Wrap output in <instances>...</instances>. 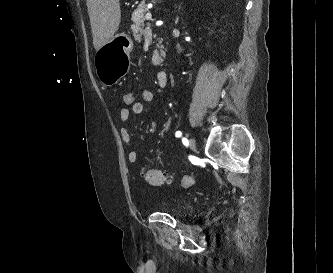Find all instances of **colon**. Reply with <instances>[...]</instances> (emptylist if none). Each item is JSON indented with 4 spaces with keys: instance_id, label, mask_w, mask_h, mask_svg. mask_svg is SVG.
I'll use <instances>...</instances> for the list:
<instances>
[{
    "instance_id": "5ec220e1",
    "label": "colon",
    "mask_w": 333,
    "mask_h": 273,
    "mask_svg": "<svg viewBox=\"0 0 333 273\" xmlns=\"http://www.w3.org/2000/svg\"><path fill=\"white\" fill-rule=\"evenodd\" d=\"M120 101L124 106H130L135 102L134 95L131 92H125L121 95ZM142 179L149 185L160 186L170 182V177L167 173L157 169H147L142 173ZM181 183L184 187L189 188L194 184V180L190 176H183Z\"/></svg>"
}]
</instances>
